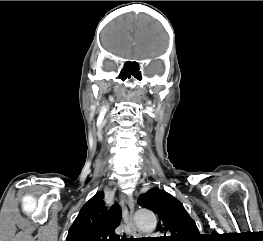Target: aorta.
Returning <instances> with one entry per match:
<instances>
[{
  "instance_id": "obj_1",
  "label": "aorta",
  "mask_w": 263,
  "mask_h": 241,
  "mask_svg": "<svg viewBox=\"0 0 263 241\" xmlns=\"http://www.w3.org/2000/svg\"><path fill=\"white\" fill-rule=\"evenodd\" d=\"M135 220L138 228L143 232H152L157 225L155 214L146 208H140L135 213Z\"/></svg>"
}]
</instances>
